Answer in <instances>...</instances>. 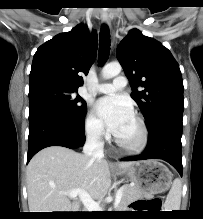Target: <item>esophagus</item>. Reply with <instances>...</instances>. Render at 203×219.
I'll list each match as a JSON object with an SVG mask.
<instances>
[{"instance_id": "esophagus-1", "label": "esophagus", "mask_w": 203, "mask_h": 219, "mask_svg": "<svg viewBox=\"0 0 203 219\" xmlns=\"http://www.w3.org/2000/svg\"><path fill=\"white\" fill-rule=\"evenodd\" d=\"M101 18L105 24L110 25V19H109V16L106 12L102 13Z\"/></svg>"}]
</instances>
